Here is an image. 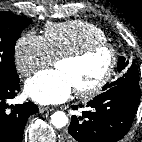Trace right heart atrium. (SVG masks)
<instances>
[{
    "label": "right heart atrium",
    "instance_id": "right-heart-atrium-1",
    "mask_svg": "<svg viewBox=\"0 0 142 142\" xmlns=\"http://www.w3.org/2000/svg\"><path fill=\"white\" fill-rule=\"evenodd\" d=\"M14 59L18 72L24 76L53 62L44 38L31 31L26 32L16 41Z\"/></svg>",
    "mask_w": 142,
    "mask_h": 142
}]
</instances>
